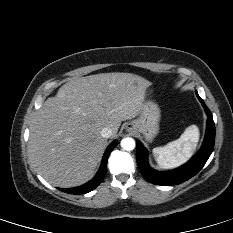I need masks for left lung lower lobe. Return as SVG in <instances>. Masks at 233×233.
<instances>
[{
  "label": "left lung lower lobe",
  "mask_w": 233,
  "mask_h": 233,
  "mask_svg": "<svg viewBox=\"0 0 233 233\" xmlns=\"http://www.w3.org/2000/svg\"><path fill=\"white\" fill-rule=\"evenodd\" d=\"M196 95L208 115V120L203 145L200 151L189 162L172 171L159 172L153 170L148 165L146 149L142 146L140 142H136V158L138 167L142 175L150 183L164 186L183 183L184 181L196 175L203 168L206 161L210 157L215 142V125L210 110L205 105L204 101L199 97L197 92Z\"/></svg>",
  "instance_id": "1"
}]
</instances>
